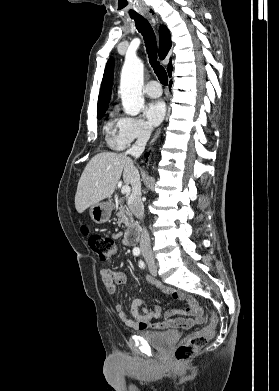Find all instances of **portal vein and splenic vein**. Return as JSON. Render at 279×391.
Returning a JSON list of instances; mask_svg holds the SVG:
<instances>
[{"label": "portal vein and splenic vein", "mask_w": 279, "mask_h": 391, "mask_svg": "<svg viewBox=\"0 0 279 391\" xmlns=\"http://www.w3.org/2000/svg\"><path fill=\"white\" fill-rule=\"evenodd\" d=\"M121 193L124 194V195L125 194H129L130 193V187L128 185L123 186L122 189H121Z\"/></svg>", "instance_id": "obj_1"}]
</instances>
